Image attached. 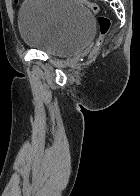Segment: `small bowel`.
Masks as SVG:
<instances>
[{"label":"small bowel","instance_id":"1","mask_svg":"<svg viewBox=\"0 0 140 196\" xmlns=\"http://www.w3.org/2000/svg\"><path fill=\"white\" fill-rule=\"evenodd\" d=\"M15 2H18L19 0H14Z\"/></svg>","mask_w":140,"mask_h":196}]
</instances>
